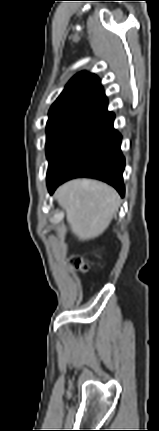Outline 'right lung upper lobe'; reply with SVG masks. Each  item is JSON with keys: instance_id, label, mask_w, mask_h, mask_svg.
Returning a JSON list of instances; mask_svg holds the SVG:
<instances>
[{"instance_id": "obj_1", "label": "right lung upper lobe", "mask_w": 159, "mask_h": 431, "mask_svg": "<svg viewBox=\"0 0 159 431\" xmlns=\"http://www.w3.org/2000/svg\"><path fill=\"white\" fill-rule=\"evenodd\" d=\"M107 98L99 78L85 71L76 74L49 110V118L92 121L107 113Z\"/></svg>"}]
</instances>
